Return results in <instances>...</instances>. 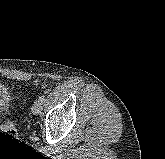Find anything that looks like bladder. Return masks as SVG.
Segmentation results:
<instances>
[{
    "mask_svg": "<svg viewBox=\"0 0 165 159\" xmlns=\"http://www.w3.org/2000/svg\"><path fill=\"white\" fill-rule=\"evenodd\" d=\"M9 95L7 87L0 83V103L4 101L5 97Z\"/></svg>",
    "mask_w": 165,
    "mask_h": 159,
    "instance_id": "1",
    "label": "bladder"
}]
</instances>
